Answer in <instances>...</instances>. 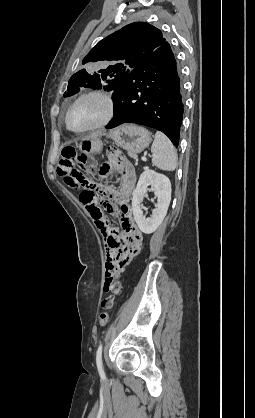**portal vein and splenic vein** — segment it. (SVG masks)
<instances>
[{
	"label": "portal vein and splenic vein",
	"instance_id": "18ae733b",
	"mask_svg": "<svg viewBox=\"0 0 255 418\" xmlns=\"http://www.w3.org/2000/svg\"><path fill=\"white\" fill-rule=\"evenodd\" d=\"M142 161H146V157L145 156L142 157Z\"/></svg>",
	"mask_w": 255,
	"mask_h": 418
}]
</instances>
